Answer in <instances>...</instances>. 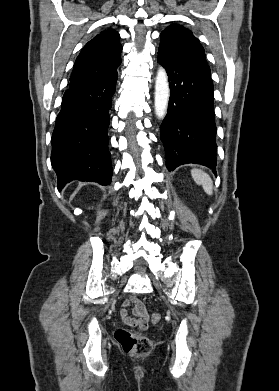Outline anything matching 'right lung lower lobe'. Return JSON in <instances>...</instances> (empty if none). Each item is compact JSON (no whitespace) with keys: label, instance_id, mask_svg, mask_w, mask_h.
<instances>
[{"label":"right lung lower lobe","instance_id":"98d812e1","mask_svg":"<svg viewBox=\"0 0 279 391\" xmlns=\"http://www.w3.org/2000/svg\"><path fill=\"white\" fill-rule=\"evenodd\" d=\"M118 73L69 88L52 135L51 164L61 190L72 180L109 185L112 177L107 129Z\"/></svg>","mask_w":279,"mask_h":391}]
</instances>
